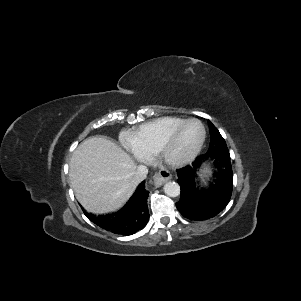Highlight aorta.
Segmentation results:
<instances>
[{"label":"aorta","mask_w":301,"mask_h":301,"mask_svg":"<svg viewBox=\"0 0 301 301\" xmlns=\"http://www.w3.org/2000/svg\"><path fill=\"white\" fill-rule=\"evenodd\" d=\"M164 193L170 197L180 195V186L176 182H167L163 187Z\"/></svg>","instance_id":"obj_1"}]
</instances>
